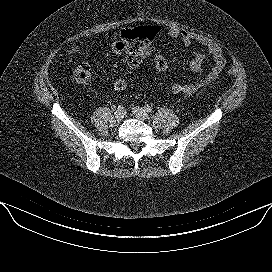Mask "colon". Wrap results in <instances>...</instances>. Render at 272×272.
I'll list each match as a JSON object with an SVG mask.
<instances>
[{
	"instance_id": "colon-1",
	"label": "colon",
	"mask_w": 272,
	"mask_h": 272,
	"mask_svg": "<svg viewBox=\"0 0 272 272\" xmlns=\"http://www.w3.org/2000/svg\"><path fill=\"white\" fill-rule=\"evenodd\" d=\"M158 34V27L154 25L141 26L134 28V36L139 38L143 45L150 47L152 40ZM84 47L83 43H76L67 51V54H75L81 51ZM153 65L158 72H164L168 68V62L162 55H156L153 58ZM229 75H235L236 71L233 68L228 70ZM74 80L79 84H88L92 79V71L88 64L82 63L78 65L73 72ZM113 87L120 92L127 88V82L124 79H117Z\"/></svg>"
}]
</instances>
